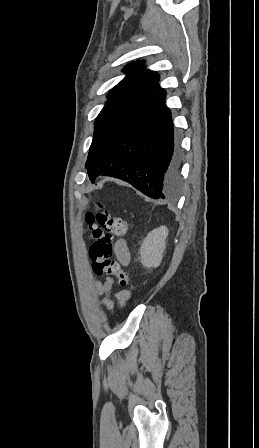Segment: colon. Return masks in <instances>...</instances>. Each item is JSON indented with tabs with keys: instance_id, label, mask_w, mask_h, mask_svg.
Listing matches in <instances>:
<instances>
[{
	"instance_id": "obj_1",
	"label": "colon",
	"mask_w": 259,
	"mask_h": 448,
	"mask_svg": "<svg viewBox=\"0 0 259 448\" xmlns=\"http://www.w3.org/2000/svg\"><path fill=\"white\" fill-rule=\"evenodd\" d=\"M87 232L92 240L90 258L93 270L98 275H112L120 287H126L130 278L120 263L112 259L113 237H124L130 228L129 222L120 217H110L100 209L87 211L84 215Z\"/></svg>"
}]
</instances>
